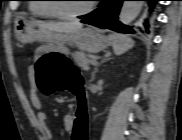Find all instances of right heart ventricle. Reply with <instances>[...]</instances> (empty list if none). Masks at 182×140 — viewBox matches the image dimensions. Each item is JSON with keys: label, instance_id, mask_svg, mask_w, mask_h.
<instances>
[{"label": "right heart ventricle", "instance_id": "right-heart-ventricle-1", "mask_svg": "<svg viewBox=\"0 0 182 140\" xmlns=\"http://www.w3.org/2000/svg\"><path fill=\"white\" fill-rule=\"evenodd\" d=\"M44 1L48 0H32L28 6L29 12L38 17L54 16L50 4L44 3Z\"/></svg>", "mask_w": 182, "mask_h": 140}]
</instances>
